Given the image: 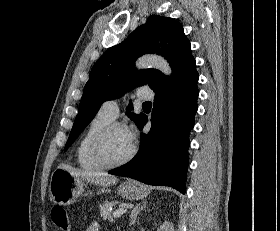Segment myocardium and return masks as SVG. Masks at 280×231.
Masks as SVG:
<instances>
[{"mask_svg":"<svg viewBox=\"0 0 280 231\" xmlns=\"http://www.w3.org/2000/svg\"><path fill=\"white\" fill-rule=\"evenodd\" d=\"M124 128V125L117 121H112L104 126L93 139L90 145V157L92 161L101 165L103 168H115L127 164L132 160L135 154V148L132 146L130 151L120 160L110 161L103 154V146L109 133L114 128Z\"/></svg>","mask_w":280,"mask_h":231,"instance_id":"myocardium-1","label":"myocardium"}]
</instances>
